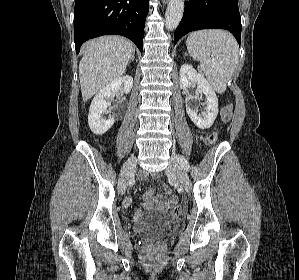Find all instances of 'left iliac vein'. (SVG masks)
<instances>
[{
    "instance_id": "obj_1",
    "label": "left iliac vein",
    "mask_w": 299,
    "mask_h": 280,
    "mask_svg": "<svg viewBox=\"0 0 299 280\" xmlns=\"http://www.w3.org/2000/svg\"><path fill=\"white\" fill-rule=\"evenodd\" d=\"M165 172L169 176L176 177L187 192L190 190L191 183L189 176L187 175L185 170L180 167L174 157L171 159L169 166L167 167Z\"/></svg>"
}]
</instances>
